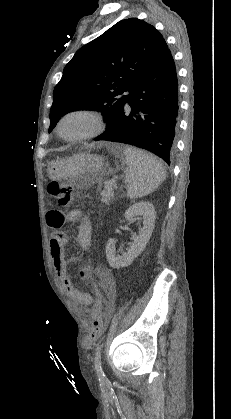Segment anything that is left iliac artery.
<instances>
[{
    "label": "left iliac artery",
    "instance_id": "left-iliac-artery-1",
    "mask_svg": "<svg viewBox=\"0 0 231 419\" xmlns=\"http://www.w3.org/2000/svg\"><path fill=\"white\" fill-rule=\"evenodd\" d=\"M101 349H102V345H99L96 350V355H95V370L98 376H104V372L101 366Z\"/></svg>",
    "mask_w": 231,
    "mask_h": 419
}]
</instances>
